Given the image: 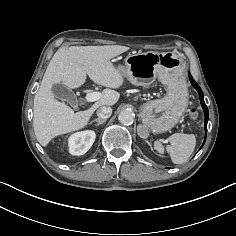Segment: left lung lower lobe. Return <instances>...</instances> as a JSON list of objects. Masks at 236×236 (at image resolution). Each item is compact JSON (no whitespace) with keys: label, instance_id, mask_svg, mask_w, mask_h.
Returning a JSON list of instances; mask_svg holds the SVG:
<instances>
[{"label":"left lung lower lobe","instance_id":"1","mask_svg":"<svg viewBox=\"0 0 236 236\" xmlns=\"http://www.w3.org/2000/svg\"><path fill=\"white\" fill-rule=\"evenodd\" d=\"M189 79L191 81L192 86L199 92V98H200L201 105H202V108H203L204 114H205V135H207V122H208L209 114H208V108H207V106H206V104L204 102V95H203V92H202L201 88L195 82V80L193 79V77L191 76L190 73H189ZM205 140H206V137H205ZM205 140H204V143H205ZM204 143H203V145H204Z\"/></svg>","mask_w":236,"mask_h":236}]
</instances>
